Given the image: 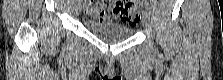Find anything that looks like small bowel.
<instances>
[{
    "mask_svg": "<svg viewBox=\"0 0 223 80\" xmlns=\"http://www.w3.org/2000/svg\"><path fill=\"white\" fill-rule=\"evenodd\" d=\"M85 12L88 16L100 21L110 20L113 17H119L114 14L112 4L106 5L105 3H91L87 5Z\"/></svg>",
    "mask_w": 223,
    "mask_h": 80,
    "instance_id": "small-bowel-1",
    "label": "small bowel"
}]
</instances>
